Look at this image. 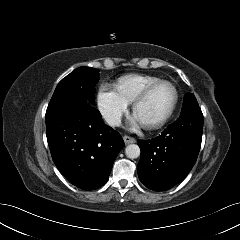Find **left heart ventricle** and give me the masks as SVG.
<instances>
[{
	"label": "left heart ventricle",
	"instance_id": "b2bd125f",
	"mask_svg": "<svg viewBox=\"0 0 240 240\" xmlns=\"http://www.w3.org/2000/svg\"><path fill=\"white\" fill-rule=\"evenodd\" d=\"M173 98L174 92L171 87H159L138 107L137 117L146 123L158 120L170 108Z\"/></svg>",
	"mask_w": 240,
	"mask_h": 240
}]
</instances>
